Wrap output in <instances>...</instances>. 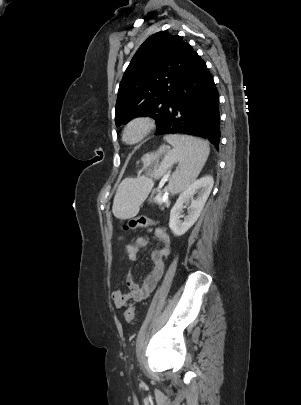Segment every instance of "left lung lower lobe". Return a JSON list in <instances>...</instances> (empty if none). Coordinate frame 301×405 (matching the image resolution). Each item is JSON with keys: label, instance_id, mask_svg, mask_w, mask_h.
<instances>
[{"label": "left lung lower lobe", "instance_id": "1", "mask_svg": "<svg viewBox=\"0 0 301 405\" xmlns=\"http://www.w3.org/2000/svg\"><path fill=\"white\" fill-rule=\"evenodd\" d=\"M157 135L181 134L220 145L219 96L206 63L195 52Z\"/></svg>", "mask_w": 301, "mask_h": 405}]
</instances>
